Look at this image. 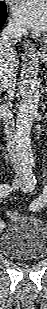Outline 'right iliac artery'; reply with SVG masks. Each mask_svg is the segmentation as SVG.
<instances>
[{"mask_svg": "<svg viewBox=\"0 0 47 309\" xmlns=\"http://www.w3.org/2000/svg\"><path fill=\"white\" fill-rule=\"evenodd\" d=\"M25 179H26V185L24 186L23 190L24 191H32L35 187L36 184V179L35 176L33 175L31 168L29 166L25 167ZM14 189V187H11L8 184H4L0 187V197L4 198L7 195H9L10 192H12V190ZM0 227L3 228L4 224L0 223Z\"/></svg>", "mask_w": 47, "mask_h": 309, "instance_id": "1", "label": "right iliac artery"}]
</instances>
